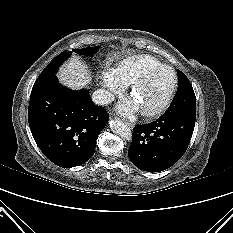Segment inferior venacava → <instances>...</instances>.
Listing matches in <instances>:
<instances>
[{"label":"inferior vena cava","mask_w":233,"mask_h":233,"mask_svg":"<svg viewBox=\"0 0 233 233\" xmlns=\"http://www.w3.org/2000/svg\"><path fill=\"white\" fill-rule=\"evenodd\" d=\"M92 100L95 104L106 105L114 100V95L107 90L98 89L93 93Z\"/></svg>","instance_id":"602c4592"}]
</instances>
